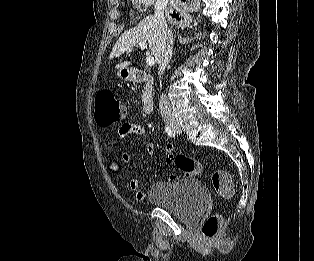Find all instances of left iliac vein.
Instances as JSON below:
<instances>
[{"mask_svg":"<svg viewBox=\"0 0 314 261\" xmlns=\"http://www.w3.org/2000/svg\"><path fill=\"white\" fill-rule=\"evenodd\" d=\"M173 131H174L175 133H177V134H180V133L182 132L180 126L174 127V128H173Z\"/></svg>","mask_w":314,"mask_h":261,"instance_id":"left-iliac-vein-1","label":"left iliac vein"}]
</instances>
